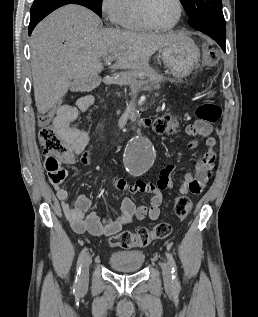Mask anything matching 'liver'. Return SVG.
I'll return each instance as SVG.
<instances>
[{"label":"liver","instance_id":"1","mask_svg":"<svg viewBox=\"0 0 258 317\" xmlns=\"http://www.w3.org/2000/svg\"><path fill=\"white\" fill-rule=\"evenodd\" d=\"M95 12L66 4L35 26L30 36L33 88L38 112H48L67 90H83L103 66L101 56L117 54L111 68H148L151 54L185 36L182 30L152 34L99 28Z\"/></svg>","mask_w":258,"mask_h":317}]
</instances>
